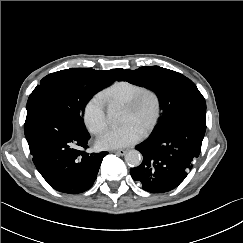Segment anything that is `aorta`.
<instances>
[{"instance_id":"762f6f07","label":"aorta","mask_w":243,"mask_h":243,"mask_svg":"<svg viewBox=\"0 0 243 243\" xmlns=\"http://www.w3.org/2000/svg\"><path fill=\"white\" fill-rule=\"evenodd\" d=\"M119 117V112L116 108L111 107L108 109L107 112V118L110 122H116ZM142 157L139 151L137 150H130L127 152L125 155V162L130 166V167H137L141 164Z\"/></svg>"}]
</instances>
